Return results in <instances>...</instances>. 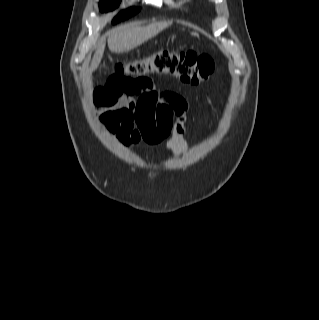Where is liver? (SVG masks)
Wrapping results in <instances>:
<instances>
[{"instance_id":"6515ba94","label":"liver","mask_w":319,"mask_h":320,"mask_svg":"<svg viewBox=\"0 0 319 320\" xmlns=\"http://www.w3.org/2000/svg\"><path fill=\"white\" fill-rule=\"evenodd\" d=\"M170 25L171 22H158L143 27L134 25L120 27L108 36V48L113 53L128 52L156 36ZM104 50L105 43L100 42L94 53L90 72H93L98 68L103 57Z\"/></svg>"}]
</instances>
